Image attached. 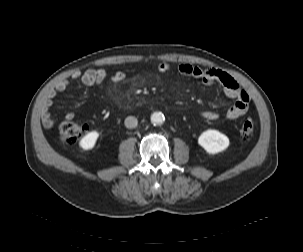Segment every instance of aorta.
Instances as JSON below:
<instances>
[{"label":"aorta","instance_id":"aorta-1","mask_svg":"<svg viewBox=\"0 0 303 252\" xmlns=\"http://www.w3.org/2000/svg\"><path fill=\"white\" fill-rule=\"evenodd\" d=\"M165 120V117L162 113L160 112H154L152 115H151V122L154 124V125H161Z\"/></svg>","mask_w":303,"mask_h":252}]
</instances>
